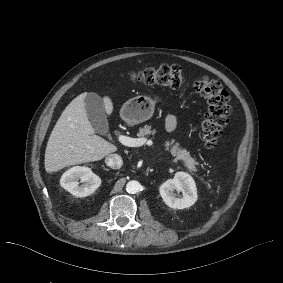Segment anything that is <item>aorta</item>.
<instances>
[{
    "label": "aorta",
    "instance_id": "762f6f07",
    "mask_svg": "<svg viewBox=\"0 0 283 283\" xmlns=\"http://www.w3.org/2000/svg\"><path fill=\"white\" fill-rule=\"evenodd\" d=\"M141 188V185L136 180H131L126 184V191L128 193L134 194L137 193Z\"/></svg>",
    "mask_w": 283,
    "mask_h": 283
}]
</instances>
